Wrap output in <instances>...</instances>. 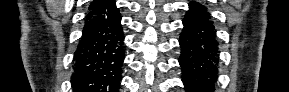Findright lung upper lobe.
Segmentation results:
<instances>
[{
  "instance_id": "right-lung-upper-lobe-1",
  "label": "right lung upper lobe",
  "mask_w": 289,
  "mask_h": 92,
  "mask_svg": "<svg viewBox=\"0 0 289 92\" xmlns=\"http://www.w3.org/2000/svg\"><path fill=\"white\" fill-rule=\"evenodd\" d=\"M106 0H95L91 5L90 8L96 7L98 5H101L105 2Z\"/></svg>"
}]
</instances>
